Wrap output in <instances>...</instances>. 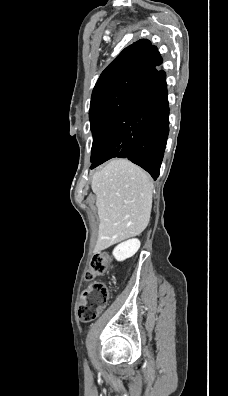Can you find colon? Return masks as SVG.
I'll list each match as a JSON object with an SVG mask.
<instances>
[{
	"label": "colon",
	"mask_w": 228,
	"mask_h": 396,
	"mask_svg": "<svg viewBox=\"0 0 228 396\" xmlns=\"http://www.w3.org/2000/svg\"><path fill=\"white\" fill-rule=\"evenodd\" d=\"M112 265L111 257L106 253H95L89 263L85 273L87 281H93L103 274ZM109 301V291L105 284L93 281L83 292L78 309V316L81 321L89 322L94 320L99 313L107 306Z\"/></svg>",
	"instance_id": "5ec220e1"
}]
</instances>
